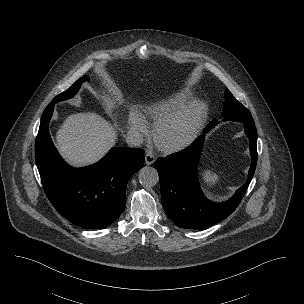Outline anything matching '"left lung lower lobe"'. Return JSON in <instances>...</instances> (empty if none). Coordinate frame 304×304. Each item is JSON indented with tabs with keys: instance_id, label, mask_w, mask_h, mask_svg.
Returning a JSON list of instances; mask_svg holds the SVG:
<instances>
[{
	"instance_id": "obj_1",
	"label": "left lung lower lobe",
	"mask_w": 304,
	"mask_h": 304,
	"mask_svg": "<svg viewBox=\"0 0 304 304\" xmlns=\"http://www.w3.org/2000/svg\"><path fill=\"white\" fill-rule=\"evenodd\" d=\"M250 142L251 166L245 185L223 203L209 201L203 195L197 178V164L204 136L188 148L158 158L155 167L159 174L161 201L168 217L180 228L201 229L214 225L229 216L239 205L255 172L257 163V130L254 123L243 122ZM214 123L206 127L210 130Z\"/></svg>"
}]
</instances>
